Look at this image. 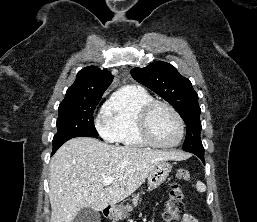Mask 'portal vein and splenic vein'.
I'll list each match as a JSON object with an SVG mask.
<instances>
[{
  "label": "portal vein and splenic vein",
  "instance_id": "18ae733b",
  "mask_svg": "<svg viewBox=\"0 0 257 222\" xmlns=\"http://www.w3.org/2000/svg\"><path fill=\"white\" fill-rule=\"evenodd\" d=\"M113 180H114L113 177H106V178L103 179L102 184L109 185L113 182Z\"/></svg>",
  "mask_w": 257,
  "mask_h": 222
}]
</instances>
